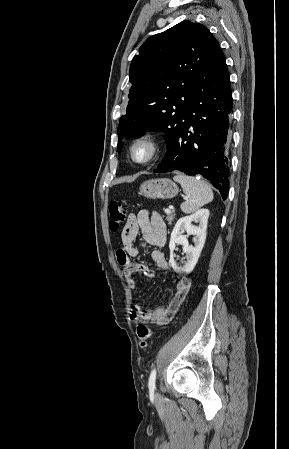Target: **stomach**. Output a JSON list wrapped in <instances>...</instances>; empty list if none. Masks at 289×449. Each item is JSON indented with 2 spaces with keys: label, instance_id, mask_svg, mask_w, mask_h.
Segmentation results:
<instances>
[{
  "label": "stomach",
  "instance_id": "0dacf381",
  "mask_svg": "<svg viewBox=\"0 0 289 449\" xmlns=\"http://www.w3.org/2000/svg\"><path fill=\"white\" fill-rule=\"evenodd\" d=\"M177 185L167 178L150 179L140 186V194L147 198L170 199L178 194Z\"/></svg>",
  "mask_w": 289,
  "mask_h": 449
}]
</instances>
